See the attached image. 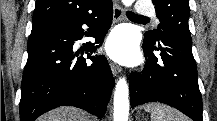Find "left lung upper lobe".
<instances>
[{
    "label": "left lung upper lobe",
    "mask_w": 217,
    "mask_h": 121,
    "mask_svg": "<svg viewBox=\"0 0 217 121\" xmlns=\"http://www.w3.org/2000/svg\"><path fill=\"white\" fill-rule=\"evenodd\" d=\"M160 21L157 30L145 33V38L157 42L165 33H172L191 43L188 26L190 15L189 0H152Z\"/></svg>",
    "instance_id": "obj_1"
}]
</instances>
